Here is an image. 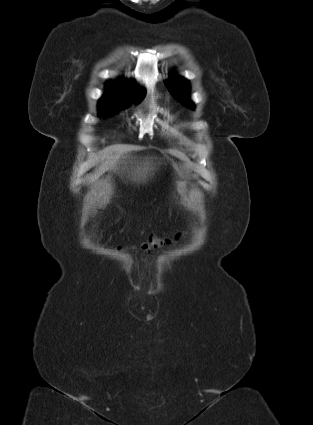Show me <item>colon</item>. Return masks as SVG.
<instances>
[{
	"label": "colon",
	"mask_w": 313,
	"mask_h": 425,
	"mask_svg": "<svg viewBox=\"0 0 313 425\" xmlns=\"http://www.w3.org/2000/svg\"><path fill=\"white\" fill-rule=\"evenodd\" d=\"M166 241L163 239H160L158 237H150L148 241L144 242L141 245V249H143L144 251H149L151 249H155L160 247L161 245H163Z\"/></svg>",
	"instance_id": "1"
}]
</instances>
